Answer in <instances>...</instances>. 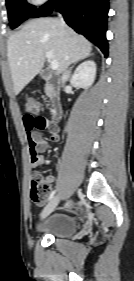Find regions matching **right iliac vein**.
<instances>
[{
    "instance_id": "63e3f726",
    "label": "right iliac vein",
    "mask_w": 134,
    "mask_h": 281,
    "mask_svg": "<svg viewBox=\"0 0 134 281\" xmlns=\"http://www.w3.org/2000/svg\"><path fill=\"white\" fill-rule=\"evenodd\" d=\"M60 199H61V195L60 194H57L55 197H53L51 199V201L47 204V206L44 208L41 217L45 218L49 214H51L55 210V208L58 205Z\"/></svg>"
}]
</instances>
